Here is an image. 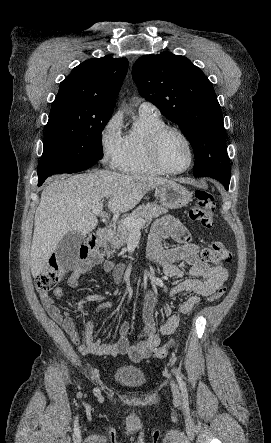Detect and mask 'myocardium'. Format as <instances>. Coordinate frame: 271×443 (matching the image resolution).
<instances>
[{
    "label": "myocardium",
    "mask_w": 271,
    "mask_h": 443,
    "mask_svg": "<svg viewBox=\"0 0 271 443\" xmlns=\"http://www.w3.org/2000/svg\"><path fill=\"white\" fill-rule=\"evenodd\" d=\"M175 132L178 135H180L184 141L186 142L189 151H190V161L187 166H185L182 169H171L169 168L164 161L162 160L161 154H160V146L162 143V140L164 137L170 133ZM149 154L151 157L152 162L155 164L156 167H158L163 173L167 174H181L186 171H188L194 164L195 161V148L193 146L192 141L188 137V135L182 131L180 128L170 125H164L154 131V133L151 136L150 142H149Z\"/></svg>",
    "instance_id": "myocardium-1"
}]
</instances>
